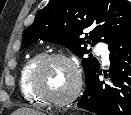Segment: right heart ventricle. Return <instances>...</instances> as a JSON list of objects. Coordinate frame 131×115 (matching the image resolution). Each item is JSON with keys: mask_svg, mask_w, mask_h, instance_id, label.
<instances>
[{"mask_svg": "<svg viewBox=\"0 0 131 115\" xmlns=\"http://www.w3.org/2000/svg\"><path fill=\"white\" fill-rule=\"evenodd\" d=\"M43 57L41 53H35L26 59L21 67L19 74V89L24 100L34 106H41L43 101L40 100L31 90L30 77L31 72L38 61Z\"/></svg>", "mask_w": 131, "mask_h": 115, "instance_id": "obj_1", "label": "right heart ventricle"}]
</instances>
